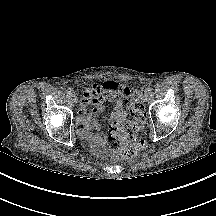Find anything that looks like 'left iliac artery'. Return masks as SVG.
<instances>
[{"label":"left iliac artery","mask_w":216,"mask_h":216,"mask_svg":"<svg viewBox=\"0 0 216 216\" xmlns=\"http://www.w3.org/2000/svg\"><path fill=\"white\" fill-rule=\"evenodd\" d=\"M146 92L150 94V93L152 92V88L148 87V88L146 89Z\"/></svg>","instance_id":"left-iliac-artery-1"}]
</instances>
